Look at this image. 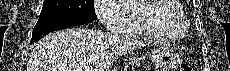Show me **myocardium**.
Listing matches in <instances>:
<instances>
[{"label": "myocardium", "instance_id": "obj_1", "mask_svg": "<svg viewBox=\"0 0 230 71\" xmlns=\"http://www.w3.org/2000/svg\"><path fill=\"white\" fill-rule=\"evenodd\" d=\"M178 2L177 0H154L152 1L151 7L158 8L159 5H165L169 3ZM156 23L162 28L174 27L184 35L187 31V24L184 20H176L172 17L171 14L167 12H158L157 15L153 17Z\"/></svg>", "mask_w": 230, "mask_h": 71}]
</instances>
